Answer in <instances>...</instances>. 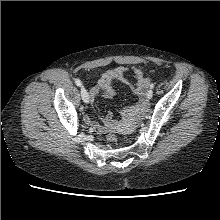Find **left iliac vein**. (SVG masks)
I'll return each mask as SVG.
<instances>
[{
	"mask_svg": "<svg viewBox=\"0 0 220 220\" xmlns=\"http://www.w3.org/2000/svg\"><path fill=\"white\" fill-rule=\"evenodd\" d=\"M152 96H153V90L150 89V90H148V92H147V98H148V99H151Z\"/></svg>",
	"mask_w": 220,
	"mask_h": 220,
	"instance_id": "obj_1",
	"label": "left iliac vein"
}]
</instances>
